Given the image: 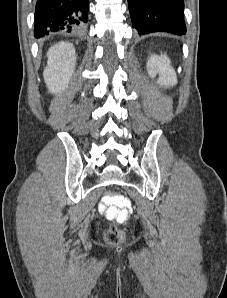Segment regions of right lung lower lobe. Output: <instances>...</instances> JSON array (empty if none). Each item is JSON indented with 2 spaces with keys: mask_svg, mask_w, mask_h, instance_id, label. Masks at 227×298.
Listing matches in <instances>:
<instances>
[{
  "mask_svg": "<svg viewBox=\"0 0 227 298\" xmlns=\"http://www.w3.org/2000/svg\"><path fill=\"white\" fill-rule=\"evenodd\" d=\"M88 20V0H38L35 8V37L56 32H68Z\"/></svg>",
  "mask_w": 227,
  "mask_h": 298,
  "instance_id": "right-lung-lower-lobe-1",
  "label": "right lung lower lobe"
}]
</instances>
